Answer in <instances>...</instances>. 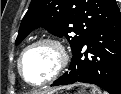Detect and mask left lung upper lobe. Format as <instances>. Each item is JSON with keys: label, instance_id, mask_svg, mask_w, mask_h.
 <instances>
[{"label": "left lung upper lobe", "instance_id": "1", "mask_svg": "<svg viewBox=\"0 0 121 94\" xmlns=\"http://www.w3.org/2000/svg\"><path fill=\"white\" fill-rule=\"evenodd\" d=\"M119 14L115 0H32L15 43L42 26L54 35L65 36L74 53L100 26Z\"/></svg>", "mask_w": 121, "mask_h": 94}]
</instances>
